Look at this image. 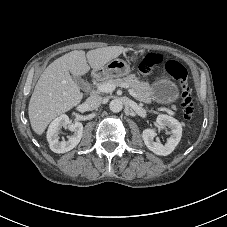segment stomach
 <instances>
[{
    "label": "stomach",
    "instance_id": "1",
    "mask_svg": "<svg viewBox=\"0 0 227 227\" xmlns=\"http://www.w3.org/2000/svg\"><path fill=\"white\" fill-rule=\"evenodd\" d=\"M100 70L101 71L98 73L99 76L104 79H109L127 75L130 72V67L127 62L122 59H113ZM178 96L179 93L176 85L167 77L158 78L150 88V98L159 104H170L174 102Z\"/></svg>",
    "mask_w": 227,
    "mask_h": 227
}]
</instances>
